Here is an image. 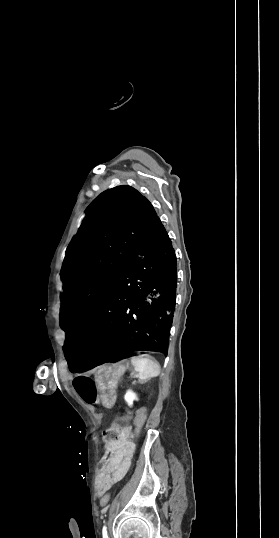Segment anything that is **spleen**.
<instances>
[{"label":"spleen","mask_w":279,"mask_h":538,"mask_svg":"<svg viewBox=\"0 0 279 538\" xmlns=\"http://www.w3.org/2000/svg\"><path fill=\"white\" fill-rule=\"evenodd\" d=\"M131 362L136 372H139V378H156L160 374L158 362L150 360V356H147V354L135 356V358H131Z\"/></svg>","instance_id":"obj_1"}]
</instances>
